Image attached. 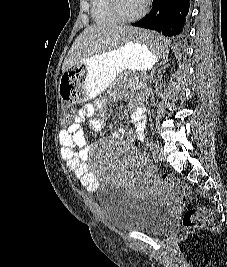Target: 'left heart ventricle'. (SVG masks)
Here are the masks:
<instances>
[{
  "label": "left heart ventricle",
  "instance_id": "b2bd125f",
  "mask_svg": "<svg viewBox=\"0 0 227 267\" xmlns=\"http://www.w3.org/2000/svg\"><path fill=\"white\" fill-rule=\"evenodd\" d=\"M141 0H120V7L122 11L128 15L136 14L143 6Z\"/></svg>",
  "mask_w": 227,
  "mask_h": 267
}]
</instances>
